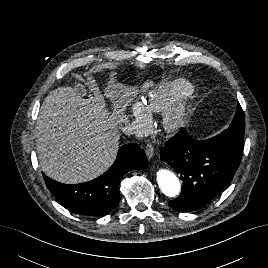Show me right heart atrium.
<instances>
[{
    "label": "right heart atrium",
    "mask_w": 268,
    "mask_h": 268,
    "mask_svg": "<svg viewBox=\"0 0 268 268\" xmlns=\"http://www.w3.org/2000/svg\"><path fill=\"white\" fill-rule=\"evenodd\" d=\"M130 114L133 122L138 124L146 122L151 117L149 109L142 101H135L132 104Z\"/></svg>",
    "instance_id": "obj_1"
}]
</instances>
